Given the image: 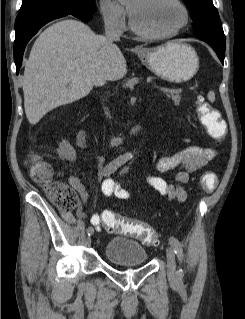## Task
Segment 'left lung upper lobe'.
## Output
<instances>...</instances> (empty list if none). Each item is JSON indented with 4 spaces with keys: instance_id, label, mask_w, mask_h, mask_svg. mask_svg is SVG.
Masks as SVG:
<instances>
[{
    "instance_id": "1",
    "label": "left lung upper lobe",
    "mask_w": 245,
    "mask_h": 319,
    "mask_svg": "<svg viewBox=\"0 0 245 319\" xmlns=\"http://www.w3.org/2000/svg\"><path fill=\"white\" fill-rule=\"evenodd\" d=\"M192 12L195 37L225 49V35L212 0H184Z\"/></svg>"
}]
</instances>
